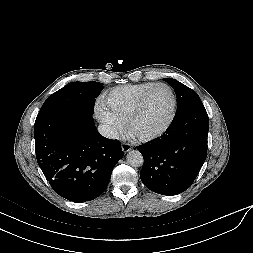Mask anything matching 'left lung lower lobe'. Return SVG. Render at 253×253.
I'll use <instances>...</instances> for the list:
<instances>
[{
  "label": "left lung lower lobe",
  "mask_w": 253,
  "mask_h": 253,
  "mask_svg": "<svg viewBox=\"0 0 253 253\" xmlns=\"http://www.w3.org/2000/svg\"><path fill=\"white\" fill-rule=\"evenodd\" d=\"M208 115L203 104L177 112L161 138L138 147L144 156L140 178L162 195L188 189L207 156Z\"/></svg>",
  "instance_id": "obj_1"
}]
</instances>
